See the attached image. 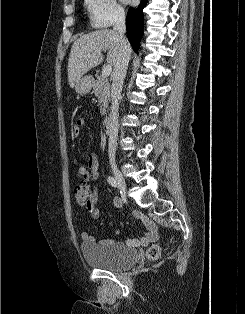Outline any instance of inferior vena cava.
<instances>
[{"mask_svg":"<svg viewBox=\"0 0 245 314\" xmlns=\"http://www.w3.org/2000/svg\"><path fill=\"white\" fill-rule=\"evenodd\" d=\"M114 31L117 32L118 37L120 39V49L118 58L114 64L111 86L112 106L110 112V131L108 141V155L111 161L115 160V152L117 146L119 128L118 124L119 98L121 95L123 81L126 76L127 66L131 56V48L124 35L126 32L124 11H120L117 13L115 17Z\"/></svg>","mask_w":245,"mask_h":314,"instance_id":"obj_1","label":"inferior vena cava"}]
</instances>
